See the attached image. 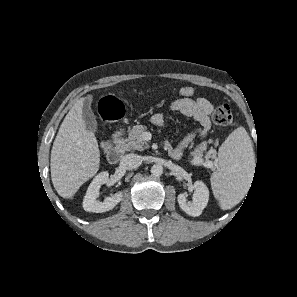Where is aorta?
Instances as JSON below:
<instances>
[{
    "label": "aorta",
    "mask_w": 297,
    "mask_h": 297,
    "mask_svg": "<svg viewBox=\"0 0 297 297\" xmlns=\"http://www.w3.org/2000/svg\"><path fill=\"white\" fill-rule=\"evenodd\" d=\"M162 173H163V167H162V165H160V164H154L151 167V174H152V176L159 177V176L162 175Z\"/></svg>",
    "instance_id": "762f6f07"
}]
</instances>
